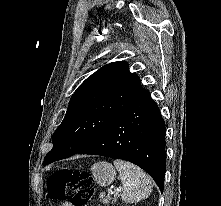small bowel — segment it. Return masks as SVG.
<instances>
[{"mask_svg": "<svg viewBox=\"0 0 221 206\" xmlns=\"http://www.w3.org/2000/svg\"><path fill=\"white\" fill-rule=\"evenodd\" d=\"M61 206H71V205L68 204V203H64V204H62Z\"/></svg>", "mask_w": 221, "mask_h": 206, "instance_id": "small-bowel-1", "label": "small bowel"}]
</instances>
